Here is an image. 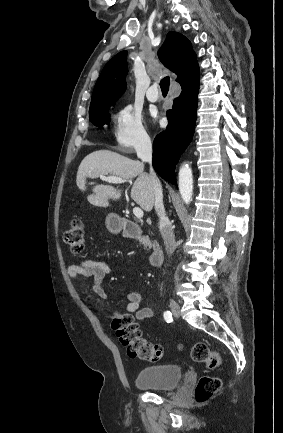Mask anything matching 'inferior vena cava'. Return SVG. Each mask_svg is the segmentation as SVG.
<instances>
[{"label": "inferior vena cava", "mask_w": 283, "mask_h": 433, "mask_svg": "<svg viewBox=\"0 0 283 433\" xmlns=\"http://www.w3.org/2000/svg\"><path fill=\"white\" fill-rule=\"evenodd\" d=\"M137 156L138 158H141V160H144V162H149L150 168H149V178L153 184V190L155 194V210L158 214V217L160 219V233L163 237L165 249L167 255L171 257L173 255L175 249H176V241H175V235L172 231L171 223H169L166 212L163 204V192H162V186L161 182L156 174L154 172L151 164H152V144L151 140H143L141 146L137 148Z\"/></svg>", "instance_id": "1"}]
</instances>
